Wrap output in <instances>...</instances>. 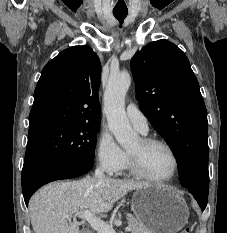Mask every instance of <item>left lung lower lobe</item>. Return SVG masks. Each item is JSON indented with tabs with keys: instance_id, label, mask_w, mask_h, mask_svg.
Returning <instances> with one entry per match:
<instances>
[{
	"instance_id": "0a47b994",
	"label": "left lung lower lobe",
	"mask_w": 227,
	"mask_h": 233,
	"mask_svg": "<svg viewBox=\"0 0 227 233\" xmlns=\"http://www.w3.org/2000/svg\"><path fill=\"white\" fill-rule=\"evenodd\" d=\"M194 198L197 200L199 206L201 207L202 210H204L206 208L207 205V199H208V195H202L200 193H191Z\"/></svg>"
}]
</instances>
